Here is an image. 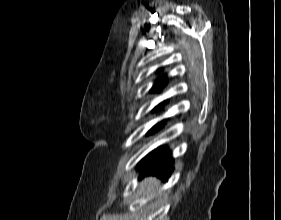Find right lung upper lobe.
Returning a JSON list of instances; mask_svg holds the SVG:
<instances>
[{
  "label": "right lung upper lobe",
  "instance_id": "obj_1",
  "mask_svg": "<svg viewBox=\"0 0 281 220\" xmlns=\"http://www.w3.org/2000/svg\"><path fill=\"white\" fill-rule=\"evenodd\" d=\"M163 80H164V77H160L158 78V80L156 81V83L154 84L153 88H152V92H155V91H158L159 89H161L164 84H163Z\"/></svg>",
  "mask_w": 281,
  "mask_h": 220
}]
</instances>
